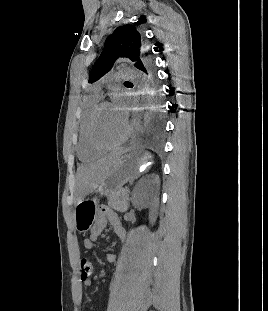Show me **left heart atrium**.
Masks as SVG:
<instances>
[{"mask_svg":"<svg viewBox=\"0 0 268 311\" xmlns=\"http://www.w3.org/2000/svg\"><path fill=\"white\" fill-rule=\"evenodd\" d=\"M113 108L119 113V115L126 121L127 120V107L123 98L120 95H116L112 102Z\"/></svg>","mask_w":268,"mask_h":311,"instance_id":"left-heart-atrium-1","label":"left heart atrium"}]
</instances>
